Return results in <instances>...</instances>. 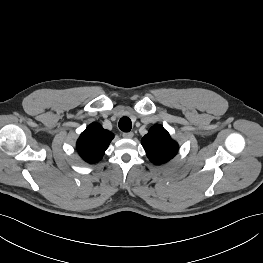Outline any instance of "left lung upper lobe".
Returning <instances> with one entry per match:
<instances>
[{"instance_id": "obj_1", "label": "left lung upper lobe", "mask_w": 263, "mask_h": 263, "mask_svg": "<svg viewBox=\"0 0 263 263\" xmlns=\"http://www.w3.org/2000/svg\"><path fill=\"white\" fill-rule=\"evenodd\" d=\"M149 160L158 165L172 159L178 151V144L161 125L153 126L141 141Z\"/></svg>"}]
</instances>
